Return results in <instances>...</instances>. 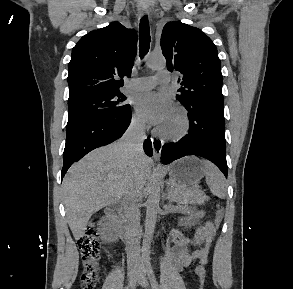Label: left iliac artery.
<instances>
[{
    "label": "left iliac artery",
    "mask_w": 293,
    "mask_h": 289,
    "mask_svg": "<svg viewBox=\"0 0 293 289\" xmlns=\"http://www.w3.org/2000/svg\"><path fill=\"white\" fill-rule=\"evenodd\" d=\"M146 268H147V273H148V277H149L152 289H159V284H158V282L156 280V277L154 275V271H153V268L151 266L150 259L146 260Z\"/></svg>",
    "instance_id": "1"
}]
</instances>
